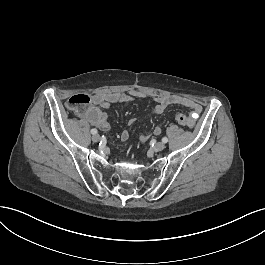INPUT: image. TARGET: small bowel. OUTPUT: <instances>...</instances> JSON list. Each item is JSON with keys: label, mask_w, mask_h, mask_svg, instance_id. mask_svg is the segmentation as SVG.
<instances>
[{"label": "small bowel", "mask_w": 265, "mask_h": 265, "mask_svg": "<svg viewBox=\"0 0 265 265\" xmlns=\"http://www.w3.org/2000/svg\"><path fill=\"white\" fill-rule=\"evenodd\" d=\"M147 95L143 92H107V93H99L95 96L94 102L86 108L78 110L77 115L89 122L91 125L105 128L107 126V115L105 113V109H108L110 106L120 103L131 102L138 98H146ZM155 102V106L153 109L154 114H162L166 108L170 105H181L190 110V113L187 114L189 117V126L193 127L196 124L201 112L202 106L195 100L181 97L178 95H157L153 98ZM153 133L155 135H159L161 133L160 127H155L153 129ZM128 130H123L120 134V138L122 141H127L129 139ZM146 140V137H142L139 141V144H143Z\"/></svg>", "instance_id": "small-bowel-1"}]
</instances>
